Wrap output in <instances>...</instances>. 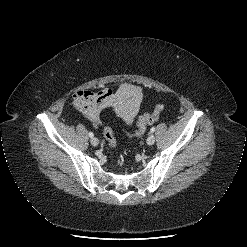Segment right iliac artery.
Instances as JSON below:
<instances>
[{"instance_id": "obj_1", "label": "right iliac artery", "mask_w": 247, "mask_h": 247, "mask_svg": "<svg viewBox=\"0 0 247 247\" xmlns=\"http://www.w3.org/2000/svg\"><path fill=\"white\" fill-rule=\"evenodd\" d=\"M93 136H94L93 132H89V137L93 138Z\"/></svg>"}]
</instances>
